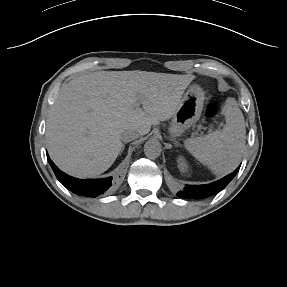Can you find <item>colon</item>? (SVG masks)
Instances as JSON below:
<instances>
[{
    "mask_svg": "<svg viewBox=\"0 0 287 287\" xmlns=\"http://www.w3.org/2000/svg\"><path fill=\"white\" fill-rule=\"evenodd\" d=\"M216 114V110L213 106H208L206 110V116L207 117H213Z\"/></svg>",
    "mask_w": 287,
    "mask_h": 287,
    "instance_id": "1",
    "label": "colon"
}]
</instances>
